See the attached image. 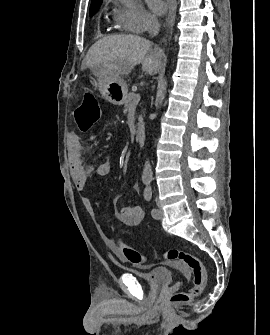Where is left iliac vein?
I'll list each match as a JSON object with an SVG mask.
<instances>
[{
    "label": "left iliac vein",
    "mask_w": 270,
    "mask_h": 335,
    "mask_svg": "<svg viewBox=\"0 0 270 335\" xmlns=\"http://www.w3.org/2000/svg\"><path fill=\"white\" fill-rule=\"evenodd\" d=\"M156 203H157V206H158V209H157L158 213H157V216L154 217V218H156V219H160V218H162V216H163V211H162V208H161V206H160V202H159L158 199H156Z\"/></svg>",
    "instance_id": "obj_1"
}]
</instances>
